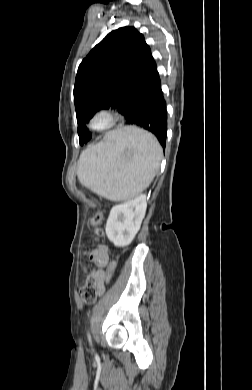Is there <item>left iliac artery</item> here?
Returning <instances> with one entry per match:
<instances>
[{"label":"left iliac artery","mask_w":252,"mask_h":390,"mask_svg":"<svg viewBox=\"0 0 252 390\" xmlns=\"http://www.w3.org/2000/svg\"><path fill=\"white\" fill-rule=\"evenodd\" d=\"M88 340H89V342H90V345H92L91 336H90L89 333H88Z\"/></svg>","instance_id":"left-iliac-artery-1"}]
</instances>
